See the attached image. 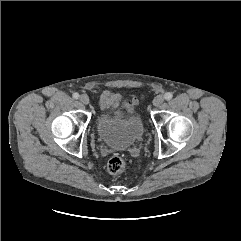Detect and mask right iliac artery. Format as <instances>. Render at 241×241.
Listing matches in <instances>:
<instances>
[{
	"label": "right iliac artery",
	"instance_id": "right-iliac-artery-1",
	"mask_svg": "<svg viewBox=\"0 0 241 241\" xmlns=\"http://www.w3.org/2000/svg\"><path fill=\"white\" fill-rule=\"evenodd\" d=\"M73 98L74 99H78L79 98V94L77 92L73 93Z\"/></svg>",
	"mask_w": 241,
	"mask_h": 241
}]
</instances>
